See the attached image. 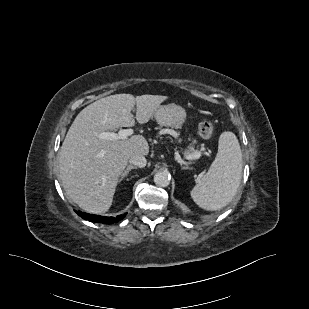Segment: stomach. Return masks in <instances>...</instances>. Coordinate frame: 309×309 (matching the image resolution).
Here are the masks:
<instances>
[{
    "label": "stomach",
    "mask_w": 309,
    "mask_h": 309,
    "mask_svg": "<svg viewBox=\"0 0 309 309\" xmlns=\"http://www.w3.org/2000/svg\"><path fill=\"white\" fill-rule=\"evenodd\" d=\"M186 111L176 104L160 106L155 112V119L161 126L181 129L186 121Z\"/></svg>",
    "instance_id": "stomach-1"
}]
</instances>
